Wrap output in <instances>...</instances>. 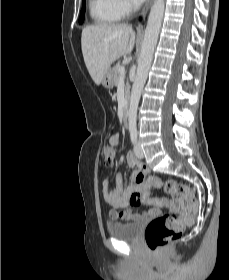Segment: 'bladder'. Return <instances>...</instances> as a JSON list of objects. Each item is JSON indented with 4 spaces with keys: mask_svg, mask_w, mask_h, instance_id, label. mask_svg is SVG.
Wrapping results in <instances>:
<instances>
[{
    "mask_svg": "<svg viewBox=\"0 0 229 280\" xmlns=\"http://www.w3.org/2000/svg\"><path fill=\"white\" fill-rule=\"evenodd\" d=\"M143 223V220L140 219L130 222L111 224L108 226V231L112 237L123 241L136 240L140 236Z\"/></svg>",
    "mask_w": 229,
    "mask_h": 280,
    "instance_id": "obj_1",
    "label": "bladder"
}]
</instances>
